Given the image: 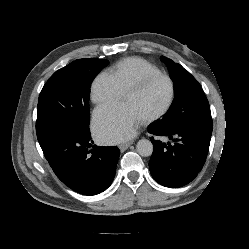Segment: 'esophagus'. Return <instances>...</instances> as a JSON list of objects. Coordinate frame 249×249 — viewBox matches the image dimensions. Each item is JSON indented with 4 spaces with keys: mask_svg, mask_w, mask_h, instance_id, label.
I'll return each instance as SVG.
<instances>
[{
    "mask_svg": "<svg viewBox=\"0 0 249 249\" xmlns=\"http://www.w3.org/2000/svg\"><path fill=\"white\" fill-rule=\"evenodd\" d=\"M130 145H132V142L122 143L119 145V149L121 151H125L126 149H128L130 147Z\"/></svg>",
    "mask_w": 249,
    "mask_h": 249,
    "instance_id": "obj_1",
    "label": "esophagus"
}]
</instances>
